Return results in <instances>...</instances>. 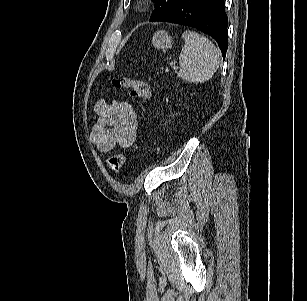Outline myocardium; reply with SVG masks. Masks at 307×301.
<instances>
[{
  "label": "myocardium",
  "instance_id": "obj_1",
  "mask_svg": "<svg viewBox=\"0 0 307 301\" xmlns=\"http://www.w3.org/2000/svg\"><path fill=\"white\" fill-rule=\"evenodd\" d=\"M152 3V0H138L136 2V5L140 8V9H147L150 7Z\"/></svg>",
  "mask_w": 307,
  "mask_h": 301
}]
</instances>
